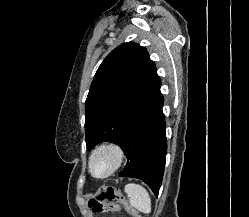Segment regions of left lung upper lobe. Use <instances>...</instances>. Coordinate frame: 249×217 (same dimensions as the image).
Here are the masks:
<instances>
[{
	"mask_svg": "<svg viewBox=\"0 0 249 217\" xmlns=\"http://www.w3.org/2000/svg\"><path fill=\"white\" fill-rule=\"evenodd\" d=\"M158 80L144 47L133 42L116 47L99 66L86 99L87 148L102 141L118 144L127 115Z\"/></svg>",
	"mask_w": 249,
	"mask_h": 217,
	"instance_id": "left-lung-upper-lobe-1",
	"label": "left lung upper lobe"
}]
</instances>
